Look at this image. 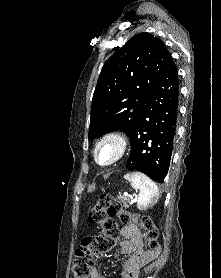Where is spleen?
Returning <instances> with one entry per match:
<instances>
[{"instance_id":"spleen-1","label":"spleen","mask_w":221,"mask_h":278,"mask_svg":"<svg viewBox=\"0 0 221 278\" xmlns=\"http://www.w3.org/2000/svg\"><path fill=\"white\" fill-rule=\"evenodd\" d=\"M131 186L139 190L137 205L141 210L148 209L158 202L159 190L157 185L146 175L133 172L125 175Z\"/></svg>"}]
</instances>
